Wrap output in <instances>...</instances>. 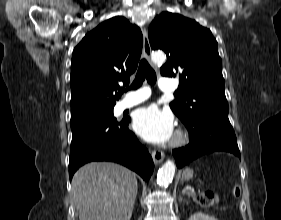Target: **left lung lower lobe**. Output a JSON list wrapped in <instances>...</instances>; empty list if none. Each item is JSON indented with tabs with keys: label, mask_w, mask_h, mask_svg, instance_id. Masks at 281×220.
<instances>
[{
	"label": "left lung lower lobe",
	"mask_w": 281,
	"mask_h": 220,
	"mask_svg": "<svg viewBox=\"0 0 281 220\" xmlns=\"http://www.w3.org/2000/svg\"><path fill=\"white\" fill-rule=\"evenodd\" d=\"M185 126L191 141L187 146L173 150L178 168L217 151L230 152L240 158L237 139L228 118L207 115Z\"/></svg>",
	"instance_id": "obj_1"
}]
</instances>
